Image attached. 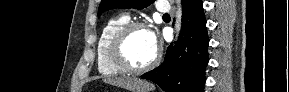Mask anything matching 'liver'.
<instances>
[{
	"mask_svg": "<svg viewBox=\"0 0 289 92\" xmlns=\"http://www.w3.org/2000/svg\"><path fill=\"white\" fill-rule=\"evenodd\" d=\"M104 82L125 88L132 92H144L147 90L150 91L154 89V87L150 85L148 82L137 78H107L104 79Z\"/></svg>",
	"mask_w": 289,
	"mask_h": 92,
	"instance_id": "1",
	"label": "liver"
}]
</instances>
